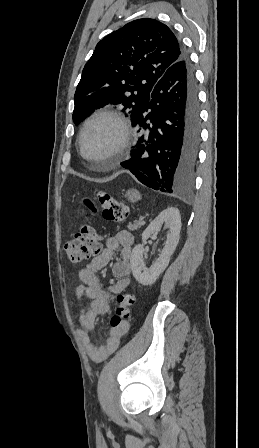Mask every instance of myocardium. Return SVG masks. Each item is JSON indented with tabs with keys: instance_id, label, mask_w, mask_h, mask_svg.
Listing matches in <instances>:
<instances>
[{
	"instance_id": "obj_1",
	"label": "myocardium",
	"mask_w": 259,
	"mask_h": 448,
	"mask_svg": "<svg viewBox=\"0 0 259 448\" xmlns=\"http://www.w3.org/2000/svg\"><path fill=\"white\" fill-rule=\"evenodd\" d=\"M100 120H109L116 124L118 128L117 137L114 140V142L110 145L108 148V154L107 158L111 160L113 163H116L118 158L121 155L122 150L124 149L128 137H129V124L127 119L123 114H121L118 111L114 110H102L99 112H96L93 114L83 125V127L80 130L77 146H78V154L82 157V140L85 135V132L87 129L92 125L93 123L100 121Z\"/></svg>"
}]
</instances>
